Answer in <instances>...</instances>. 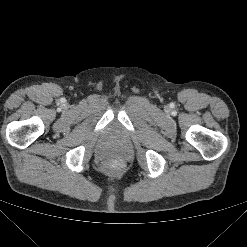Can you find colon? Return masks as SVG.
I'll return each instance as SVG.
<instances>
[{
  "mask_svg": "<svg viewBox=\"0 0 247 247\" xmlns=\"http://www.w3.org/2000/svg\"><path fill=\"white\" fill-rule=\"evenodd\" d=\"M116 166H117V163L116 162H113V163L109 164V167H112V168H114Z\"/></svg>",
  "mask_w": 247,
  "mask_h": 247,
  "instance_id": "1",
  "label": "colon"
}]
</instances>
